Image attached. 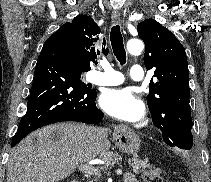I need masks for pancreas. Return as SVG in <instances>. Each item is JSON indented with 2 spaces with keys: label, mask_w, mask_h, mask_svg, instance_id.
<instances>
[{
  "label": "pancreas",
  "mask_w": 211,
  "mask_h": 182,
  "mask_svg": "<svg viewBox=\"0 0 211 182\" xmlns=\"http://www.w3.org/2000/svg\"><path fill=\"white\" fill-rule=\"evenodd\" d=\"M101 158L106 162L107 165H114L116 163H120L122 160L121 156L118 152H112L108 151L104 154H102ZM129 165L133 167V172L136 174H139L142 171H144L146 168H149V165L147 164V161H142L137 159L136 157L130 159L128 161ZM93 175L96 176L95 179L90 180L89 182L97 181V178L101 176L99 169H94Z\"/></svg>",
  "instance_id": "obj_1"
}]
</instances>
